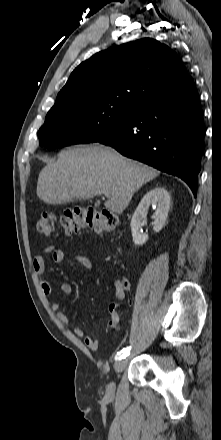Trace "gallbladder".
<instances>
[{"label":"gallbladder","mask_w":221,"mask_h":440,"mask_svg":"<svg viewBox=\"0 0 221 440\" xmlns=\"http://www.w3.org/2000/svg\"><path fill=\"white\" fill-rule=\"evenodd\" d=\"M99 203L97 202L95 205L97 206Z\"/></svg>","instance_id":"bac80fb5"}]
</instances>
